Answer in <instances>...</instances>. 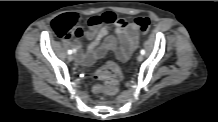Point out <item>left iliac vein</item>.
<instances>
[{"label": "left iliac vein", "instance_id": "4c4485c4", "mask_svg": "<svg viewBox=\"0 0 218 122\" xmlns=\"http://www.w3.org/2000/svg\"><path fill=\"white\" fill-rule=\"evenodd\" d=\"M137 60L139 62L143 61V55L142 54H139L138 57H137Z\"/></svg>", "mask_w": 218, "mask_h": 122}]
</instances>
